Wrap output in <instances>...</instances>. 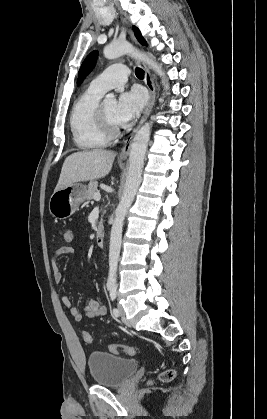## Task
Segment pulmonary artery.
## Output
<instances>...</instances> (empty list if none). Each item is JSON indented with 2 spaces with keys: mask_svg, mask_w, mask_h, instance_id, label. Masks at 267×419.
<instances>
[{
  "mask_svg": "<svg viewBox=\"0 0 267 419\" xmlns=\"http://www.w3.org/2000/svg\"><path fill=\"white\" fill-rule=\"evenodd\" d=\"M129 75V69L123 64H114L105 69L101 74L95 77L90 87L102 93L123 85Z\"/></svg>",
  "mask_w": 267,
  "mask_h": 419,
  "instance_id": "1",
  "label": "pulmonary artery"
}]
</instances>
